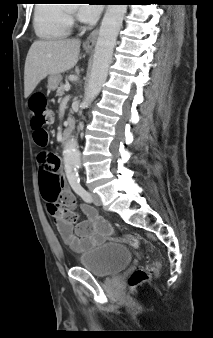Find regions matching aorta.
Here are the masks:
<instances>
[{
    "instance_id": "1",
    "label": "aorta",
    "mask_w": 213,
    "mask_h": 338,
    "mask_svg": "<svg viewBox=\"0 0 213 338\" xmlns=\"http://www.w3.org/2000/svg\"><path fill=\"white\" fill-rule=\"evenodd\" d=\"M126 10V4H109L107 6L99 29L93 65L82 103L86 107L100 93L107 79L116 39ZM64 167L68 179L77 178V172L80 167V152L77 141L74 138L65 147Z\"/></svg>"
}]
</instances>
